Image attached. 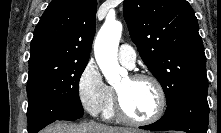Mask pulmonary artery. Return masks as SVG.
Masks as SVG:
<instances>
[{"mask_svg":"<svg viewBox=\"0 0 221 133\" xmlns=\"http://www.w3.org/2000/svg\"><path fill=\"white\" fill-rule=\"evenodd\" d=\"M118 59L122 65L133 68L136 61V52L130 45L123 44L119 48Z\"/></svg>","mask_w":221,"mask_h":133,"instance_id":"obj_1","label":"pulmonary artery"}]
</instances>
